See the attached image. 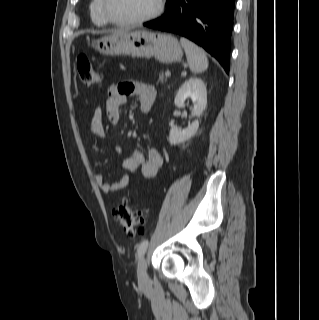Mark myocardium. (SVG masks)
I'll return each mask as SVG.
<instances>
[{"label": "myocardium", "instance_id": "f54148a6", "mask_svg": "<svg viewBox=\"0 0 319 320\" xmlns=\"http://www.w3.org/2000/svg\"><path fill=\"white\" fill-rule=\"evenodd\" d=\"M101 8H102V13L105 19L109 23H112L114 25H119V26L134 25V24H142L159 17L164 11L165 0H158L157 7L152 13L146 16L134 18V19L120 20V19L114 18L108 9V0H101Z\"/></svg>", "mask_w": 319, "mask_h": 320}]
</instances>
